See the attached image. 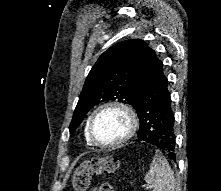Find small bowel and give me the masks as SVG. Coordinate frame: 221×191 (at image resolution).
<instances>
[{"mask_svg":"<svg viewBox=\"0 0 221 191\" xmlns=\"http://www.w3.org/2000/svg\"><path fill=\"white\" fill-rule=\"evenodd\" d=\"M92 191H99L97 188H93Z\"/></svg>","mask_w":221,"mask_h":191,"instance_id":"1","label":"small bowel"}]
</instances>
